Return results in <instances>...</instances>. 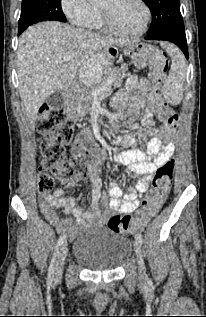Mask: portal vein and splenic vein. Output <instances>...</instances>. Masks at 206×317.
<instances>
[{"label":"portal vein and splenic vein","mask_w":206,"mask_h":317,"mask_svg":"<svg viewBox=\"0 0 206 317\" xmlns=\"http://www.w3.org/2000/svg\"><path fill=\"white\" fill-rule=\"evenodd\" d=\"M76 53L75 52H67L63 58V60H61L60 62H65V61H69L71 59H73L75 57ZM111 84H112V78L103 86H101L98 89H95L92 91V95L93 96H98L101 95L107 91H109L111 89Z\"/></svg>","instance_id":"1"}]
</instances>
